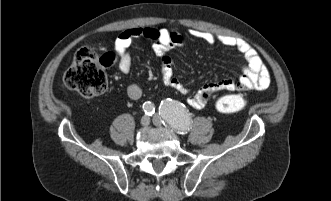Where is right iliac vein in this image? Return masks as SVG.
<instances>
[{
    "label": "right iliac vein",
    "instance_id": "1",
    "mask_svg": "<svg viewBox=\"0 0 331 201\" xmlns=\"http://www.w3.org/2000/svg\"><path fill=\"white\" fill-rule=\"evenodd\" d=\"M141 125L146 127L150 123V118L148 116H143L140 121Z\"/></svg>",
    "mask_w": 331,
    "mask_h": 201
}]
</instances>
